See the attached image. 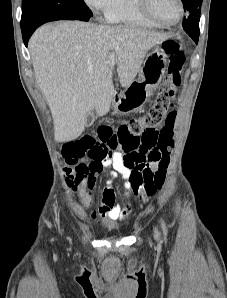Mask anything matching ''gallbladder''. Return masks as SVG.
Returning <instances> with one entry per match:
<instances>
[{"mask_svg": "<svg viewBox=\"0 0 227 298\" xmlns=\"http://www.w3.org/2000/svg\"><path fill=\"white\" fill-rule=\"evenodd\" d=\"M93 122H94V114H93V112H90L87 114L85 126L89 127L93 124Z\"/></svg>", "mask_w": 227, "mask_h": 298, "instance_id": "obj_1", "label": "gallbladder"}]
</instances>
